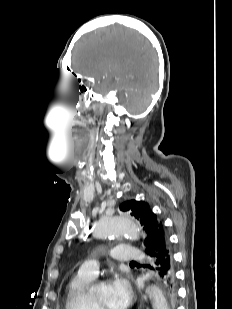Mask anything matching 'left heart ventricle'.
I'll use <instances>...</instances> for the list:
<instances>
[{"label":"left heart ventricle","instance_id":"1","mask_svg":"<svg viewBox=\"0 0 232 309\" xmlns=\"http://www.w3.org/2000/svg\"><path fill=\"white\" fill-rule=\"evenodd\" d=\"M94 297L107 309H118L113 302L111 284L104 283L94 293Z\"/></svg>","mask_w":232,"mask_h":309}]
</instances>
